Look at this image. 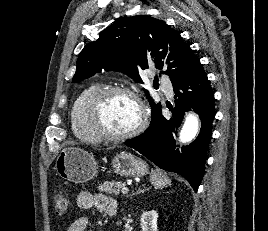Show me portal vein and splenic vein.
Returning a JSON list of instances; mask_svg holds the SVG:
<instances>
[{
    "label": "portal vein and splenic vein",
    "mask_w": 268,
    "mask_h": 231,
    "mask_svg": "<svg viewBox=\"0 0 268 231\" xmlns=\"http://www.w3.org/2000/svg\"><path fill=\"white\" fill-rule=\"evenodd\" d=\"M129 192V189L127 187L122 188V193L127 194Z\"/></svg>",
    "instance_id": "portal-vein-and-splenic-vein-1"
}]
</instances>
